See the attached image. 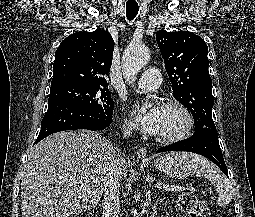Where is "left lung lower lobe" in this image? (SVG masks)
<instances>
[{
    "label": "left lung lower lobe",
    "mask_w": 255,
    "mask_h": 217,
    "mask_svg": "<svg viewBox=\"0 0 255 217\" xmlns=\"http://www.w3.org/2000/svg\"><path fill=\"white\" fill-rule=\"evenodd\" d=\"M165 151H187L200 154L214 162L228 176L215 128H203L195 131V134L190 138L162 147L157 150V153Z\"/></svg>",
    "instance_id": "1"
}]
</instances>
